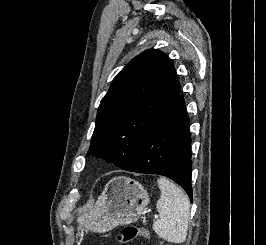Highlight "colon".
<instances>
[{"label": "colon", "mask_w": 266, "mask_h": 245, "mask_svg": "<svg viewBox=\"0 0 266 245\" xmlns=\"http://www.w3.org/2000/svg\"><path fill=\"white\" fill-rule=\"evenodd\" d=\"M147 235L148 231L145 228L137 227L134 225H127L122 229L118 237V241L120 243L130 242L139 236H147Z\"/></svg>", "instance_id": "1"}]
</instances>
